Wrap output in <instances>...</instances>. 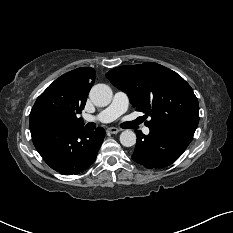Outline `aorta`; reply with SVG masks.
<instances>
[{
  "label": "aorta",
  "instance_id": "1",
  "mask_svg": "<svg viewBox=\"0 0 233 233\" xmlns=\"http://www.w3.org/2000/svg\"><path fill=\"white\" fill-rule=\"evenodd\" d=\"M90 99L98 107H105L112 100V90L106 84L94 85L90 91ZM120 143L125 147H131L136 143V134L131 130H125L120 134Z\"/></svg>",
  "mask_w": 233,
  "mask_h": 233
}]
</instances>
